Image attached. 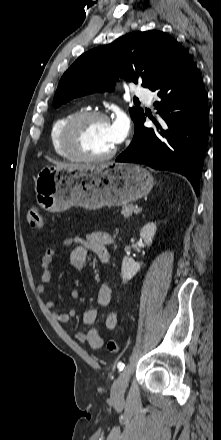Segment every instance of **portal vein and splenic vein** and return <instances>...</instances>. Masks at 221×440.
Listing matches in <instances>:
<instances>
[{"label": "portal vein and splenic vein", "mask_w": 221, "mask_h": 440, "mask_svg": "<svg viewBox=\"0 0 221 440\" xmlns=\"http://www.w3.org/2000/svg\"><path fill=\"white\" fill-rule=\"evenodd\" d=\"M141 211H142V208H137V207H135V211H134V213L138 214V213H140Z\"/></svg>", "instance_id": "portal-vein-and-splenic-vein-1"}]
</instances>
